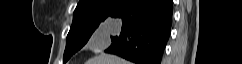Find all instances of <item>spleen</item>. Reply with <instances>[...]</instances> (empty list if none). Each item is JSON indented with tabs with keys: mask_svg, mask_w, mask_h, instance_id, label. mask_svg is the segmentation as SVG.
<instances>
[{
	"mask_svg": "<svg viewBox=\"0 0 242 64\" xmlns=\"http://www.w3.org/2000/svg\"><path fill=\"white\" fill-rule=\"evenodd\" d=\"M86 64H131L115 55L101 54L86 62Z\"/></svg>",
	"mask_w": 242,
	"mask_h": 64,
	"instance_id": "1",
	"label": "spleen"
}]
</instances>
